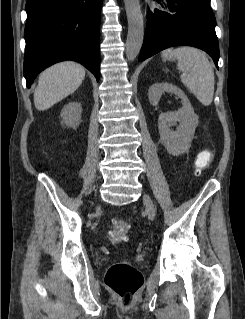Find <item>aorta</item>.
<instances>
[{"label":"aorta","instance_id":"762f6f07","mask_svg":"<svg viewBox=\"0 0 245 319\" xmlns=\"http://www.w3.org/2000/svg\"><path fill=\"white\" fill-rule=\"evenodd\" d=\"M128 21L126 40V57L134 61L138 56L144 40V21L139 0H124Z\"/></svg>","mask_w":245,"mask_h":319}]
</instances>
